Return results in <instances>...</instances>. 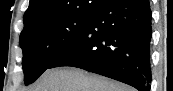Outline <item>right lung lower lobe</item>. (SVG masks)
Listing matches in <instances>:
<instances>
[{"label":"right lung lower lobe","mask_w":173,"mask_h":91,"mask_svg":"<svg viewBox=\"0 0 173 91\" xmlns=\"http://www.w3.org/2000/svg\"><path fill=\"white\" fill-rule=\"evenodd\" d=\"M149 0H103L81 36L48 68L73 66L150 89Z\"/></svg>","instance_id":"98d812e1"}]
</instances>
